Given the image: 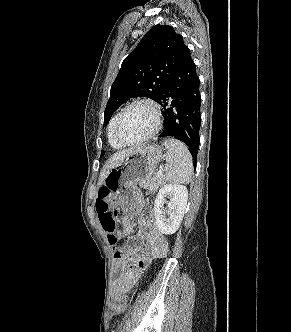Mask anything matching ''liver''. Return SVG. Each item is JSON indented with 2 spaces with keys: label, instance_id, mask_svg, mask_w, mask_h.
<instances>
[{
  "label": "liver",
  "instance_id": "obj_1",
  "mask_svg": "<svg viewBox=\"0 0 291 332\" xmlns=\"http://www.w3.org/2000/svg\"><path fill=\"white\" fill-rule=\"evenodd\" d=\"M136 149L137 148H130V149L122 150V151H119V152H116L115 154H113L109 158V160L106 162L103 170L100 173L99 185L103 184L104 179L106 178V176L108 175V173L110 172L111 169L115 168L121 160H123L128 154H130L131 152H133Z\"/></svg>",
  "mask_w": 291,
  "mask_h": 332
}]
</instances>
